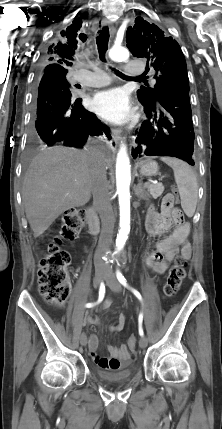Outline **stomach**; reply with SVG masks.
<instances>
[{
  "mask_svg": "<svg viewBox=\"0 0 222 429\" xmlns=\"http://www.w3.org/2000/svg\"><path fill=\"white\" fill-rule=\"evenodd\" d=\"M159 167L157 162L147 159L139 163V171L143 176H154L158 173Z\"/></svg>",
  "mask_w": 222,
  "mask_h": 429,
  "instance_id": "1",
  "label": "stomach"
}]
</instances>
